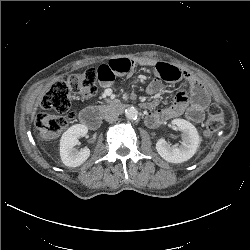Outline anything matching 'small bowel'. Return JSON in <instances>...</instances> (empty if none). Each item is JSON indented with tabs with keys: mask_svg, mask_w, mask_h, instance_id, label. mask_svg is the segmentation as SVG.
<instances>
[{
	"mask_svg": "<svg viewBox=\"0 0 250 250\" xmlns=\"http://www.w3.org/2000/svg\"><path fill=\"white\" fill-rule=\"evenodd\" d=\"M134 69L135 62L128 58L112 59L97 68L98 80L103 87H109L117 76L129 75ZM154 72L155 78L146 88L150 95L161 91L162 81L183 82L184 86L172 105L158 107L150 113L148 123L158 125L182 114L193 122L202 121L204 109L208 104V95L202 84L187 71L166 63H157Z\"/></svg>",
	"mask_w": 250,
	"mask_h": 250,
	"instance_id": "small-bowel-1",
	"label": "small bowel"
}]
</instances>
